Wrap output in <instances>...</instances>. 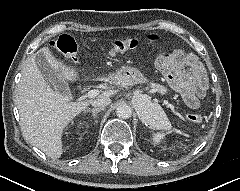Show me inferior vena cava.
Wrapping results in <instances>:
<instances>
[{
    "mask_svg": "<svg viewBox=\"0 0 240 191\" xmlns=\"http://www.w3.org/2000/svg\"><path fill=\"white\" fill-rule=\"evenodd\" d=\"M111 103L110 98H99L92 102V106H94V109H104L107 105Z\"/></svg>",
    "mask_w": 240,
    "mask_h": 191,
    "instance_id": "602c4592",
    "label": "inferior vena cava"
}]
</instances>
